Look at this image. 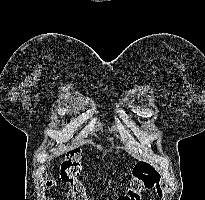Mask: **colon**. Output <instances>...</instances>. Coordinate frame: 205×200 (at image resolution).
Masks as SVG:
<instances>
[{
    "mask_svg": "<svg viewBox=\"0 0 205 200\" xmlns=\"http://www.w3.org/2000/svg\"><path fill=\"white\" fill-rule=\"evenodd\" d=\"M81 157L79 150H71L66 154L60 168V177L68 184V200H87L86 191L80 181ZM160 174L150 165L138 163L132 169L131 179L127 193L117 200H140V194L144 190L155 188L162 193ZM46 186L51 188L53 181L49 178Z\"/></svg>",
    "mask_w": 205,
    "mask_h": 200,
    "instance_id": "1",
    "label": "colon"
}]
</instances>
